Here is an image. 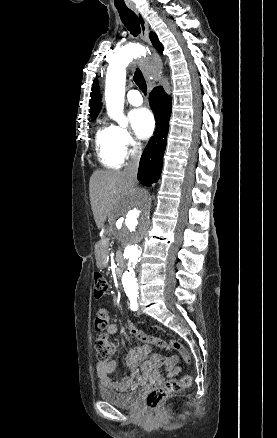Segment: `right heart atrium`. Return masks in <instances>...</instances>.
I'll return each mask as SVG.
<instances>
[{
	"instance_id": "right-heart-atrium-1",
	"label": "right heart atrium",
	"mask_w": 277,
	"mask_h": 438,
	"mask_svg": "<svg viewBox=\"0 0 277 438\" xmlns=\"http://www.w3.org/2000/svg\"><path fill=\"white\" fill-rule=\"evenodd\" d=\"M116 144L124 159L135 155L140 149V143L128 129L123 127H116Z\"/></svg>"
}]
</instances>
